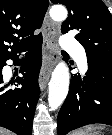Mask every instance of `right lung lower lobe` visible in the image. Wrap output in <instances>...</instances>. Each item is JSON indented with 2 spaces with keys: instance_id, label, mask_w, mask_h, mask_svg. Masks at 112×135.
I'll return each mask as SVG.
<instances>
[{
  "instance_id": "1",
  "label": "right lung lower lobe",
  "mask_w": 112,
  "mask_h": 135,
  "mask_svg": "<svg viewBox=\"0 0 112 135\" xmlns=\"http://www.w3.org/2000/svg\"><path fill=\"white\" fill-rule=\"evenodd\" d=\"M28 51V58L21 66L15 81L5 84L2 68L8 59L18 60L17 53ZM0 62V126L7 128L17 135H31L32 123L40 89L38 74L42 65V38L35 40L26 48ZM21 83L22 88L10 89V84Z\"/></svg>"
}]
</instances>
